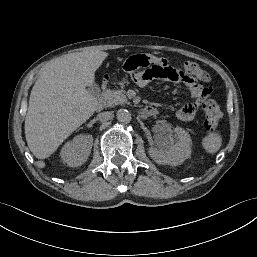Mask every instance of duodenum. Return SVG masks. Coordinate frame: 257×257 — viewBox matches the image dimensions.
Segmentation results:
<instances>
[{
  "label": "duodenum",
  "mask_w": 257,
  "mask_h": 257,
  "mask_svg": "<svg viewBox=\"0 0 257 257\" xmlns=\"http://www.w3.org/2000/svg\"><path fill=\"white\" fill-rule=\"evenodd\" d=\"M107 81L104 82L103 84V89H107ZM104 103H105V100H104V97L103 96H100L96 102H95V110L97 112H101L103 109H104ZM157 114V111L154 107H151V106H148V107H145L143 110H142V115L146 116V117H153Z\"/></svg>",
  "instance_id": "1"
}]
</instances>
